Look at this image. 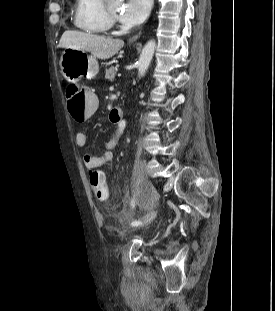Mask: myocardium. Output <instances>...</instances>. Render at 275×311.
Returning a JSON list of instances; mask_svg holds the SVG:
<instances>
[{
    "instance_id": "f54148a6",
    "label": "myocardium",
    "mask_w": 275,
    "mask_h": 311,
    "mask_svg": "<svg viewBox=\"0 0 275 311\" xmlns=\"http://www.w3.org/2000/svg\"><path fill=\"white\" fill-rule=\"evenodd\" d=\"M104 10H105V14H106V17H107V19H108L109 22L115 18V14H113V13L110 11V9H109V7H108L107 4H105Z\"/></svg>"
}]
</instances>
